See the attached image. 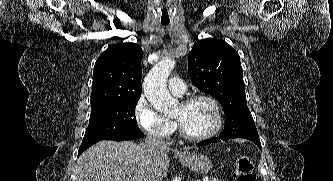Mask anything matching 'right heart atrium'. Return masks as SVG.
Instances as JSON below:
<instances>
[{
  "mask_svg": "<svg viewBox=\"0 0 333 181\" xmlns=\"http://www.w3.org/2000/svg\"><path fill=\"white\" fill-rule=\"evenodd\" d=\"M134 116L139 128L148 135L167 139L175 131V124L160 115L144 97H140L134 107Z\"/></svg>",
  "mask_w": 333,
  "mask_h": 181,
  "instance_id": "right-heart-atrium-1",
  "label": "right heart atrium"
}]
</instances>
